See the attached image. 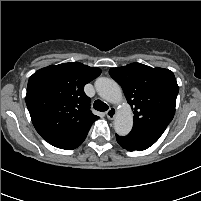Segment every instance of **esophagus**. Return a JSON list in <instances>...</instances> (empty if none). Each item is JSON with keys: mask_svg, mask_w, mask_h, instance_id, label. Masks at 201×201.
<instances>
[{"mask_svg": "<svg viewBox=\"0 0 201 201\" xmlns=\"http://www.w3.org/2000/svg\"><path fill=\"white\" fill-rule=\"evenodd\" d=\"M117 110L115 107H111L107 112H106V116L109 119H114L116 116Z\"/></svg>", "mask_w": 201, "mask_h": 201, "instance_id": "34e87169", "label": "esophagus"}]
</instances>
